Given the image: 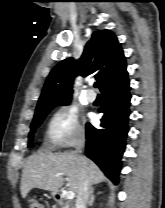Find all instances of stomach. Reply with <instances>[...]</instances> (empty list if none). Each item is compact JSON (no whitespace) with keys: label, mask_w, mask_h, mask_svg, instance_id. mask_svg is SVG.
I'll list each match as a JSON object with an SVG mask.
<instances>
[{"label":"stomach","mask_w":165,"mask_h":208,"mask_svg":"<svg viewBox=\"0 0 165 208\" xmlns=\"http://www.w3.org/2000/svg\"><path fill=\"white\" fill-rule=\"evenodd\" d=\"M56 194H57V193H55V192H52V196H54V197H55V196H56Z\"/></svg>","instance_id":"0dacf381"}]
</instances>
